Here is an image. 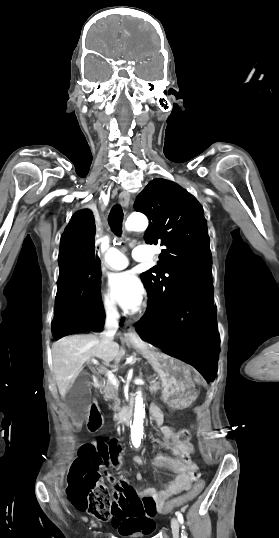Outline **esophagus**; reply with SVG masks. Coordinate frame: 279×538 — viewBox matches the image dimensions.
<instances>
[{
  "label": "esophagus",
  "instance_id": "1",
  "mask_svg": "<svg viewBox=\"0 0 279 538\" xmlns=\"http://www.w3.org/2000/svg\"><path fill=\"white\" fill-rule=\"evenodd\" d=\"M130 195L127 191H123L119 195V202L122 206L127 207L129 205ZM126 339H139V335L133 327H129L127 332L124 334Z\"/></svg>",
  "mask_w": 279,
  "mask_h": 538
}]
</instances>
